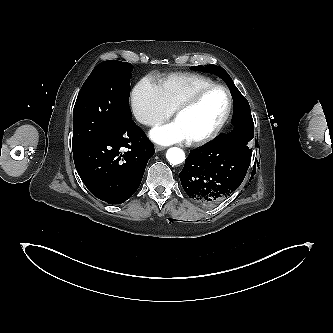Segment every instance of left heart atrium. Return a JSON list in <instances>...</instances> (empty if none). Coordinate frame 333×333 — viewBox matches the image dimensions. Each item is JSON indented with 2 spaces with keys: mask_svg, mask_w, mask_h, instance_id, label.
Listing matches in <instances>:
<instances>
[{
  "mask_svg": "<svg viewBox=\"0 0 333 333\" xmlns=\"http://www.w3.org/2000/svg\"><path fill=\"white\" fill-rule=\"evenodd\" d=\"M153 141L159 144H173L188 140L187 135L177 121L155 127L150 132Z\"/></svg>",
  "mask_w": 333,
  "mask_h": 333,
  "instance_id": "1",
  "label": "left heart atrium"
}]
</instances>
